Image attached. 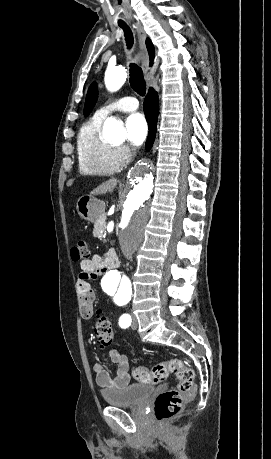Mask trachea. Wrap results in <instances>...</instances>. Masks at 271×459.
I'll return each instance as SVG.
<instances>
[{
	"label": "trachea",
	"instance_id": "obj_1",
	"mask_svg": "<svg viewBox=\"0 0 271 459\" xmlns=\"http://www.w3.org/2000/svg\"><path fill=\"white\" fill-rule=\"evenodd\" d=\"M123 32H124V37L126 41V46L128 50H130L133 46L134 40H133V34L130 29V27L126 24H121L119 25ZM129 82L133 90L137 92L140 95H145L146 92V82L143 76V71L141 67H139L137 64L131 62L129 65Z\"/></svg>",
	"mask_w": 271,
	"mask_h": 459
}]
</instances>
